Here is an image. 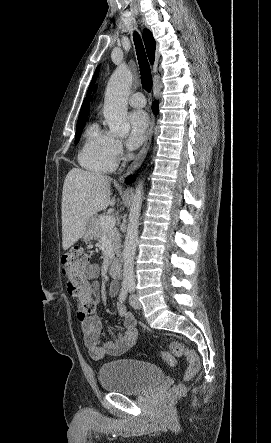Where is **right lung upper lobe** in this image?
I'll list each match as a JSON object with an SVG mask.
<instances>
[{
	"label": "right lung upper lobe",
	"mask_w": 271,
	"mask_h": 443,
	"mask_svg": "<svg viewBox=\"0 0 271 443\" xmlns=\"http://www.w3.org/2000/svg\"><path fill=\"white\" fill-rule=\"evenodd\" d=\"M143 39H144L145 47L147 50L148 58H149L150 62L153 64L154 60H155L156 44H155V40L152 36V33L148 29H144ZM98 72H99V67L96 69V71L94 73L92 82H91L88 92H87V97L83 101L78 120L87 118L88 111H89V97L88 96L91 93V90H92L93 84L96 80V77L98 75Z\"/></svg>",
	"instance_id": "cb5924a9"
}]
</instances>
